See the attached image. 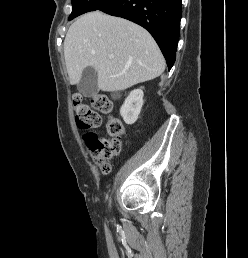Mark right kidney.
Listing matches in <instances>:
<instances>
[{
    "label": "right kidney",
    "instance_id": "1",
    "mask_svg": "<svg viewBox=\"0 0 248 258\" xmlns=\"http://www.w3.org/2000/svg\"><path fill=\"white\" fill-rule=\"evenodd\" d=\"M143 90L136 89L130 92L120 109V114L126 124H133L138 119L143 106Z\"/></svg>",
    "mask_w": 248,
    "mask_h": 258
}]
</instances>
